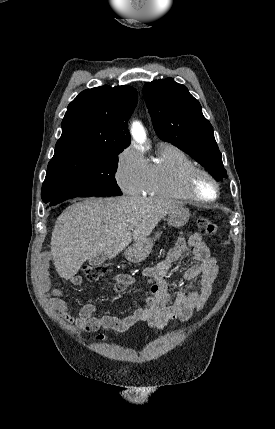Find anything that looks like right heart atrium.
<instances>
[{
	"label": "right heart atrium",
	"mask_w": 275,
	"mask_h": 429,
	"mask_svg": "<svg viewBox=\"0 0 275 429\" xmlns=\"http://www.w3.org/2000/svg\"><path fill=\"white\" fill-rule=\"evenodd\" d=\"M115 179L127 194L138 195L145 191L148 178V164L133 147L121 150L116 158Z\"/></svg>",
	"instance_id": "right-heart-atrium-1"
}]
</instances>
